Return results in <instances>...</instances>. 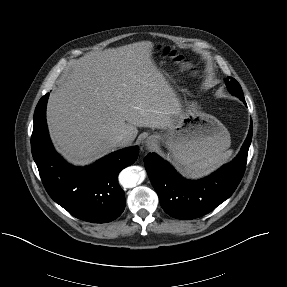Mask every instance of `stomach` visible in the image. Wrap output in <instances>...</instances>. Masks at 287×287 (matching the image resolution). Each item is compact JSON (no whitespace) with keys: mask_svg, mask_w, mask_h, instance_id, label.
I'll return each instance as SVG.
<instances>
[{"mask_svg":"<svg viewBox=\"0 0 287 287\" xmlns=\"http://www.w3.org/2000/svg\"><path fill=\"white\" fill-rule=\"evenodd\" d=\"M152 137L163 143L179 166L219 155L230 147L227 128L214 116L203 112L196 102L185 100L178 120L164 133Z\"/></svg>","mask_w":287,"mask_h":287,"instance_id":"obj_1","label":"stomach"}]
</instances>
